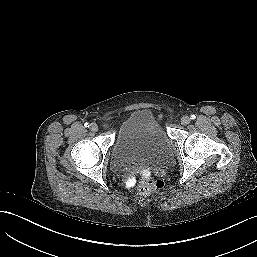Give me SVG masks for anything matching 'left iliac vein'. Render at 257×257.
<instances>
[{
	"label": "left iliac vein",
	"mask_w": 257,
	"mask_h": 257,
	"mask_svg": "<svg viewBox=\"0 0 257 257\" xmlns=\"http://www.w3.org/2000/svg\"><path fill=\"white\" fill-rule=\"evenodd\" d=\"M190 123V118H189V116H183L182 118H181V124L182 125H188Z\"/></svg>",
	"instance_id": "1"
}]
</instances>
